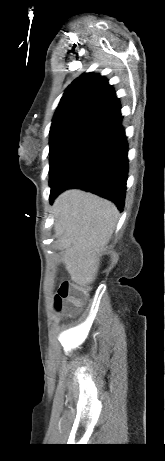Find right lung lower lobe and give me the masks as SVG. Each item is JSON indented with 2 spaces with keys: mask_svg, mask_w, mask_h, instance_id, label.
Segmentation results:
<instances>
[{
  "mask_svg": "<svg viewBox=\"0 0 165 461\" xmlns=\"http://www.w3.org/2000/svg\"><path fill=\"white\" fill-rule=\"evenodd\" d=\"M121 114L98 129L50 185V202L69 188L113 201L122 210L128 175V145Z\"/></svg>",
  "mask_w": 165,
  "mask_h": 461,
  "instance_id": "right-lung-lower-lobe-1",
  "label": "right lung lower lobe"
}]
</instances>
